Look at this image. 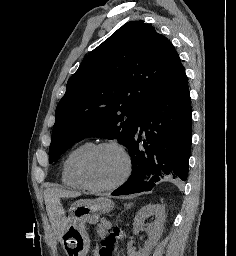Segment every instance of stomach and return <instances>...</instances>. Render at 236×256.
Here are the masks:
<instances>
[{"mask_svg":"<svg viewBox=\"0 0 236 256\" xmlns=\"http://www.w3.org/2000/svg\"><path fill=\"white\" fill-rule=\"evenodd\" d=\"M112 208L113 202L107 198L82 199L73 203L63 236L67 256L87 255L90 240L85 230V224H95L101 214L109 213Z\"/></svg>","mask_w":236,"mask_h":256,"instance_id":"obj_1","label":"stomach"}]
</instances>
